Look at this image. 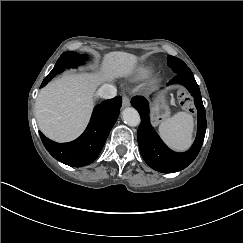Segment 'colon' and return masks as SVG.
I'll use <instances>...</instances> for the list:
<instances>
[{"label": "colon", "mask_w": 243, "mask_h": 243, "mask_svg": "<svg viewBox=\"0 0 243 243\" xmlns=\"http://www.w3.org/2000/svg\"><path fill=\"white\" fill-rule=\"evenodd\" d=\"M179 102L183 108H185L187 110H191L190 99L186 93L179 94Z\"/></svg>", "instance_id": "1"}]
</instances>
